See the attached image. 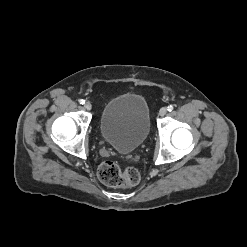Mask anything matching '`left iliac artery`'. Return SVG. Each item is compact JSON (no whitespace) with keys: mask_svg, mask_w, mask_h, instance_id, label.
<instances>
[{"mask_svg":"<svg viewBox=\"0 0 247 247\" xmlns=\"http://www.w3.org/2000/svg\"><path fill=\"white\" fill-rule=\"evenodd\" d=\"M174 109V106L173 105H169L168 107H167V110L168 111H172Z\"/></svg>","mask_w":247,"mask_h":247,"instance_id":"left-iliac-artery-1","label":"left iliac artery"}]
</instances>
